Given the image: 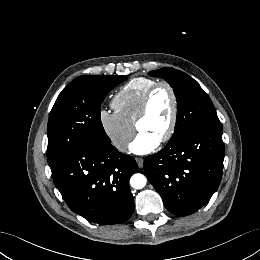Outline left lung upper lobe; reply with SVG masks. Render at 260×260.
Returning <instances> with one entry per match:
<instances>
[{"label":"left lung upper lobe","instance_id":"5c2ea615","mask_svg":"<svg viewBox=\"0 0 260 260\" xmlns=\"http://www.w3.org/2000/svg\"><path fill=\"white\" fill-rule=\"evenodd\" d=\"M149 76L164 78L177 99L176 125L169 142L181 138L195 127L220 122L209 96L189 75L173 68H162L150 71Z\"/></svg>","mask_w":260,"mask_h":260}]
</instances>
